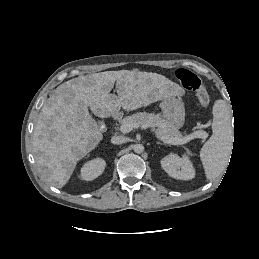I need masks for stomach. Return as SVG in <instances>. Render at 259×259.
I'll list each match as a JSON object with an SVG mask.
<instances>
[{"mask_svg": "<svg viewBox=\"0 0 259 259\" xmlns=\"http://www.w3.org/2000/svg\"><path fill=\"white\" fill-rule=\"evenodd\" d=\"M163 117L165 120L173 123L177 129L184 125L185 108L184 104L175 97H169L162 100L160 104Z\"/></svg>", "mask_w": 259, "mask_h": 259, "instance_id": "obj_1", "label": "stomach"}]
</instances>
